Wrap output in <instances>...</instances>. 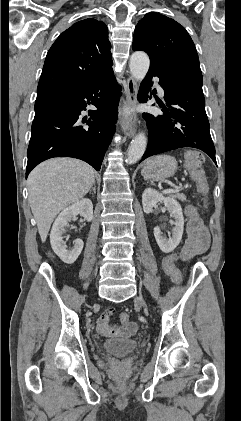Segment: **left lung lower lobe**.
Returning a JSON list of instances; mask_svg holds the SVG:
<instances>
[{"instance_id":"1","label":"left lung lower lobe","mask_w":241,"mask_h":421,"mask_svg":"<svg viewBox=\"0 0 241 421\" xmlns=\"http://www.w3.org/2000/svg\"><path fill=\"white\" fill-rule=\"evenodd\" d=\"M158 77L165 91L166 106L163 115L144 114L149 130L148 147L140 162L146 158L182 147H193L207 153L216 163L215 147L209 131V121L205 111L202 80L179 75L157 65L150 64L140 92L143 102L148 99L152 78Z\"/></svg>"}]
</instances>
